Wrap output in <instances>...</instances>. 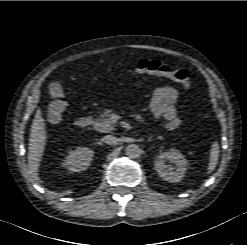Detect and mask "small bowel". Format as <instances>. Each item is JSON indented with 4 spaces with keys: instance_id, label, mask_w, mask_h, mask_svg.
<instances>
[{
    "instance_id": "obj_1",
    "label": "small bowel",
    "mask_w": 247,
    "mask_h": 245,
    "mask_svg": "<svg viewBox=\"0 0 247 245\" xmlns=\"http://www.w3.org/2000/svg\"><path fill=\"white\" fill-rule=\"evenodd\" d=\"M179 93L173 86H159L155 88L151 102L150 111L155 118L170 120L177 116L175 104Z\"/></svg>"
}]
</instances>
